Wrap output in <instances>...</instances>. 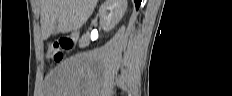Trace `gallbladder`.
I'll return each instance as SVG.
<instances>
[{
	"mask_svg": "<svg viewBox=\"0 0 232 96\" xmlns=\"http://www.w3.org/2000/svg\"><path fill=\"white\" fill-rule=\"evenodd\" d=\"M56 34H58V32H57V23L54 26V30H53L52 35L55 36Z\"/></svg>",
	"mask_w": 232,
	"mask_h": 96,
	"instance_id": "gallbladder-1",
	"label": "gallbladder"
}]
</instances>
